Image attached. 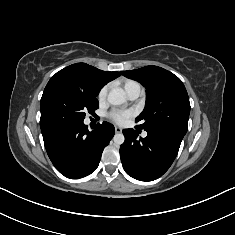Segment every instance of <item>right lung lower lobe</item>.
Segmentation results:
<instances>
[{
	"label": "right lung lower lobe",
	"instance_id": "obj_1",
	"mask_svg": "<svg viewBox=\"0 0 235 235\" xmlns=\"http://www.w3.org/2000/svg\"><path fill=\"white\" fill-rule=\"evenodd\" d=\"M44 145L55 168L65 177L78 179L96 170L103 149L114 136L108 122L93 131L83 123H51L41 125Z\"/></svg>",
	"mask_w": 235,
	"mask_h": 235
}]
</instances>
